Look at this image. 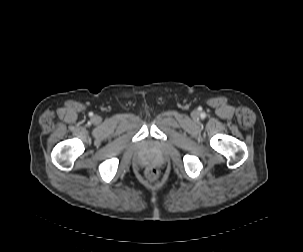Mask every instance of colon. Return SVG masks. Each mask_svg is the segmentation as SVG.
Instances as JSON below:
<instances>
[{
	"instance_id": "obj_1",
	"label": "colon",
	"mask_w": 303,
	"mask_h": 252,
	"mask_svg": "<svg viewBox=\"0 0 303 252\" xmlns=\"http://www.w3.org/2000/svg\"><path fill=\"white\" fill-rule=\"evenodd\" d=\"M146 176L149 180L155 181L159 177V171L155 167H150L146 170Z\"/></svg>"
}]
</instances>
